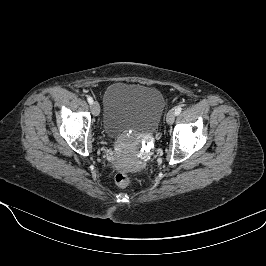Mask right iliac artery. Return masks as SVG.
Returning <instances> with one entry per match:
<instances>
[{"instance_id":"1","label":"right iliac artery","mask_w":266,"mask_h":266,"mask_svg":"<svg viewBox=\"0 0 266 266\" xmlns=\"http://www.w3.org/2000/svg\"><path fill=\"white\" fill-rule=\"evenodd\" d=\"M87 101H88L89 104H92V103H93V99H92V97H90V96L87 97Z\"/></svg>"}]
</instances>
